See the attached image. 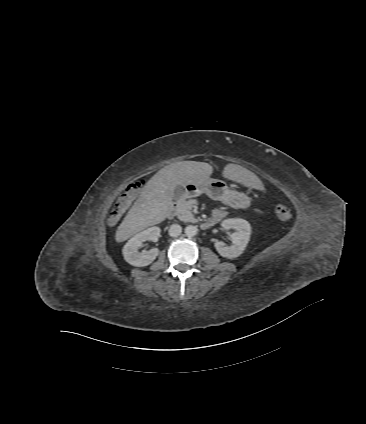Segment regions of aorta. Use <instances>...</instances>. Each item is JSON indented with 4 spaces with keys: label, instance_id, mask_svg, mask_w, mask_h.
<instances>
[{
    "label": "aorta",
    "instance_id": "aorta-1",
    "mask_svg": "<svg viewBox=\"0 0 366 424\" xmlns=\"http://www.w3.org/2000/svg\"><path fill=\"white\" fill-rule=\"evenodd\" d=\"M197 232H198L197 226L188 225V226H186V228H185V234H186V236H188V237H193V236H195V235L197 234Z\"/></svg>",
    "mask_w": 366,
    "mask_h": 424
}]
</instances>
